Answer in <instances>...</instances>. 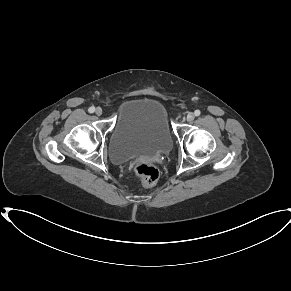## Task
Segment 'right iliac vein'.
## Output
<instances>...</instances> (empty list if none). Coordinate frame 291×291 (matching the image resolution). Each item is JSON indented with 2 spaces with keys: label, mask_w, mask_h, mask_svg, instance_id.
Returning <instances> with one entry per match:
<instances>
[{
  "label": "right iliac vein",
  "mask_w": 291,
  "mask_h": 291,
  "mask_svg": "<svg viewBox=\"0 0 291 291\" xmlns=\"http://www.w3.org/2000/svg\"><path fill=\"white\" fill-rule=\"evenodd\" d=\"M102 113H103L102 108H101V107H97L96 110H95V114H96L97 116H101Z\"/></svg>",
  "instance_id": "1"
}]
</instances>
